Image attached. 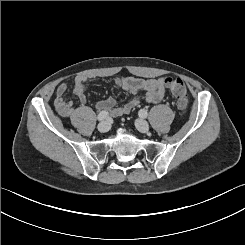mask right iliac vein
<instances>
[{"label":"right iliac vein","instance_id":"1","mask_svg":"<svg viewBox=\"0 0 245 245\" xmlns=\"http://www.w3.org/2000/svg\"><path fill=\"white\" fill-rule=\"evenodd\" d=\"M109 129H110V125H109V123L106 122V121H103V122L99 123V125H98V130H99L101 133H106V132L109 131Z\"/></svg>","mask_w":245,"mask_h":245}]
</instances>
